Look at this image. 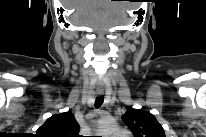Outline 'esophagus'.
<instances>
[{
  "label": "esophagus",
  "mask_w": 206,
  "mask_h": 137,
  "mask_svg": "<svg viewBox=\"0 0 206 137\" xmlns=\"http://www.w3.org/2000/svg\"><path fill=\"white\" fill-rule=\"evenodd\" d=\"M98 94H99V95H101V94H102V92H99Z\"/></svg>",
  "instance_id": "obj_1"
}]
</instances>
